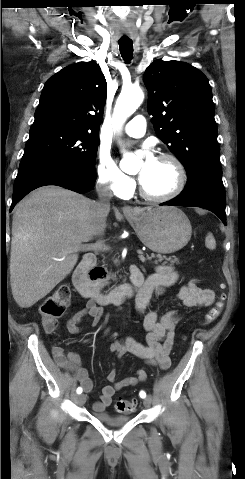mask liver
Masks as SVG:
<instances>
[{
    "label": "liver",
    "instance_id": "liver-1",
    "mask_svg": "<svg viewBox=\"0 0 245 479\" xmlns=\"http://www.w3.org/2000/svg\"><path fill=\"white\" fill-rule=\"evenodd\" d=\"M88 198L45 186L20 201L13 214L10 282L22 308L49 294L78 261V248L97 235Z\"/></svg>",
    "mask_w": 245,
    "mask_h": 479
}]
</instances>
